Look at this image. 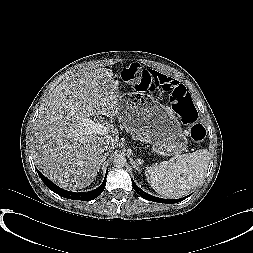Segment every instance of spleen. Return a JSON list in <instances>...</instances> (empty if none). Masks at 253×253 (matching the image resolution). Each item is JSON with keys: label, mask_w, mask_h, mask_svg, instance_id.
I'll use <instances>...</instances> for the list:
<instances>
[{"label": "spleen", "mask_w": 253, "mask_h": 253, "mask_svg": "<svg viewBox=\"0 0 253 253\" xmlns=\"http://www.w3.org/2000/svg\"><path fill=\"white\" fill-rule=\"evenodd\" d=\"M209 160L208 150L199 149L174 160L147 167L145 175L151 187L161 196L180 198L201 183Z\"/></svg>", "instance_id": "obj_1"}]
</instances>
